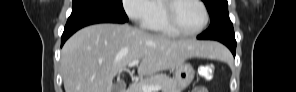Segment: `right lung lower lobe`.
Returning <instances> with one entry per match:
<instances>
[{
  "label": "right lung lower lobe",
  "instance_id": "right-lung-lower-lobe-1",
  "mask_svg": "<svg viewBox=\"0 0 296 92\" xmlns=\"http://www.w3.org/2000/svg\"><path fill=\"white\" fill-rule=\"evenodd\" d=\"M128 20L121 19L101 12L87 11L71 14L68 18L61 37V46L77 30L87 25L96 23H125Z\"/></svg>",
  "mask_w": 296,
  "mask_h": 92
}]
</instances>
